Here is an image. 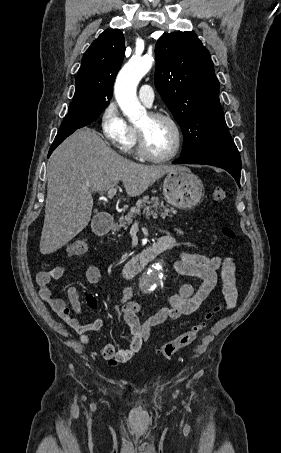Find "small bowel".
Returning a JSON list of instances; mask_svg holds the SVG:
<instances>
[{
    "mask_svg": "<svg viewBox=\"0 0 281 453\" xmlns=\"http://www.w3.org/2000/svg\"><path fill=\"white\" fill-rule=\"evenodd\" d=\"M174 232L182 236L184 231L180 227H174ZM175 240L171 237H165L161 241L155 239L148 245H156L157 252L172 251ZM167 245V246H166ZM172 271L178 276H193L200 281L198 289H193L190 285H181L179 290L172 295L169 301V307L156 311L148 316L142 322L137 314L140 310L139 305L132 300L131 287H125L122 296L114 302L115 313L118 322L125 323L132 333L129 344L123 348H116L112 344H106L101 349V357L109 361L112 365L128 362L136 352H138L144 342L148 340L153 330L162 325L168 319H178L182 315L197 314L201 308L202 302L206 299L211 291L219 284L223 286V295L227 309H233L238 292L235 285L234 271L236 264L230 257L221 259L217 256H207L186 251L179 252V258L172 264ZM221 269L222 278L216 272ZM65 267L57 265L51 269H42L37 272V284L40 289L42 299L50 305L53 311L62 317L68 325L73 328L79 335L83 345H89L91 337L89 332H97L103 329L104 320L97 318L88 324H81L79 320L72 315H78L82 312L83 307L79 299L76 286L69 285L67 288L68 303L72 310L67 307L66 302L59 298L52 297L49 282L51 279H60L65 275ZM86 278L91 284L100 283V272L95 266H88Z\"/></svg>",
    "mask_w": 281,
    "mask_h": 453,
    "instance_id": "obj_1",
    "label": "small bowel"
}]
</instances>
